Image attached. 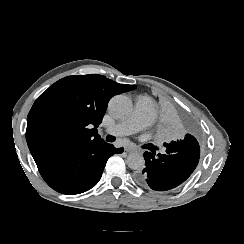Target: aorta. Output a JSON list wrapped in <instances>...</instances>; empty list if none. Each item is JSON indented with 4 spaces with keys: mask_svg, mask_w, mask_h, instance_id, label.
Listing matches in <instances>:
<instances>
[{
    "mask_svg": "<svg viewBox=\"0 0 244 244\" xmlns=\"http://www.w3.org/2000/svg\"><path fill=\"white\" fill-rule=\"evenodd\" d=\"M108 109L112 116L124 118L132 112V102L125 95H116L110 99ZM126 163L130 169L141 170L144 168V157L139 153H131L127 156Z\"/></svg>",
    "mask_w": 244,
    "mask_h": 244,
    "instance_id": "762f6f07",
    "label": "aorta"
}]
</instances>
